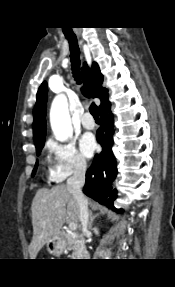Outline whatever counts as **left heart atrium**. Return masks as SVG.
<instances>
[{"label": "left heart atrium", "mask_w": 175, "mask_h": 287, "mask_svg": "<svg viewBox=\"0 0 175 287\" xmlns=\"http://www.w3.org/2000/svg\"><path fill=\"white\" fill-rule=\"evenodd\" d=\"M96 147L97 143L93 134L86 133L80 139V148L86 156H92V154L96 150Z\"/></svg>", "instance_id": "obj_1"}]
</instances>
